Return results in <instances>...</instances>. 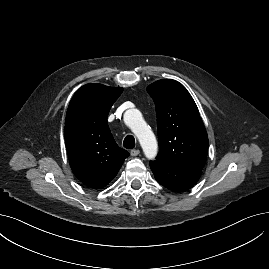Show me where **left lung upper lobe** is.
<instances>
[{
	"mask_svg": "<svg viewBox=\"0 0 269 269\" xmlns=\"http://www.w3.org/2000/svg\"><path fill=\"white\" fill-rule=\"evenodd\" d=\"M157 113L159 153L157 161L202 170L208 136L198 108L187 89L172 79L147 87Z\"/></svg>",
	"mask_w": 269,
	"mask_h": 269,
	"instance_id": "left-lung-upper-lobe-1",
	"label": "left lung upper lobe"
}]
</instances>
